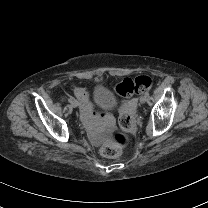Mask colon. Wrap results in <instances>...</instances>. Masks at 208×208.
Returning a JSON list of instances; mask_svg holds the SVG:
<instances>
[{
  "label": "colon",
  "instance_id": "1",
  "mask_svg": "<svg viewBox=\"0 0 208 208\" xmlns=\"http://www.w3.org/2000/svg\"><path fill=\"white\" fill-rule=\"evenodd\" d=\"M152 85V79L147 75H138L133 78H125L115 85L114 92L121 98L119 122L123 128L114 127L108 133V138L99 145L100 152L108 159H117L126 153L135 144L132 133L136 125L130 120L127 112V104L123 99L129 98L135 93L145 91Z\"/></svg>",
  "mask_w": 208,
  "mask_h": 208
}]
</instances>
